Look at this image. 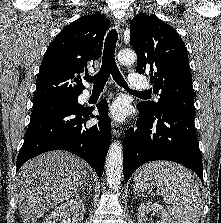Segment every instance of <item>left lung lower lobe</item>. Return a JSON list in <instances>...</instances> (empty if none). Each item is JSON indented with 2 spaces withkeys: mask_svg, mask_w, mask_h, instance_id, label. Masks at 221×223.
I'll return each mask as SVG.
<instances>
[{
  "mask_svg": "<svg viewBox=\"0 0 221 223\" xmlns=\"http://www.w3.org/2000/svg\"><path fill=\"white\" fill-rule=\"evenodd\" d=\"M137 128L127 130L123 147L124 180L146 162L169 160L195 171L203 181L202 156L199 150L195 114L169 110L151 115L138 106Z\"/></svg>",
  "mask_w": 221,
  "mask_h": 223,
  "instance_id": "obj_1",
  "label": "left lung lower lobe"
}]
</instances>
